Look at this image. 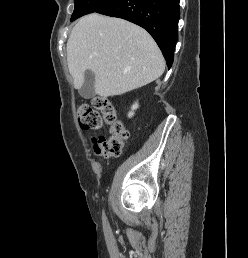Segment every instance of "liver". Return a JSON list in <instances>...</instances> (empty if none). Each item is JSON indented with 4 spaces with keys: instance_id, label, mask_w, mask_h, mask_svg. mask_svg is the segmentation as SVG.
Wrapping results in <instances>:
<instances>
[{
    "instance_id": "1",
    "label": "liver",
    "mask_w": 248,
    "mask_h": 258,
    "mask_svg": "<svg viewBox=\"0 0 248 258\" xmlns=\"http://www.w3.org/2000/svg\"><path fill=\"white\" fill-rule=\"evenodd\" d=\"M67 62L75 88L81 89L91 70L94 92L105 98L147 85L165 70L159 47L144 29L97 13L82 17L71 31Z\"/></svg>"
}]
</instances>
